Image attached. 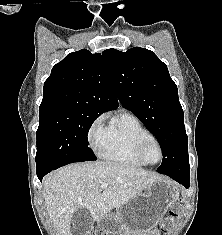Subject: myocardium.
Here are the masks:
<instances>
[{
	"label": "myocardium",
	"mask_w": 222,
	"mask_h": 235,
	"mask_svg": "<svg viewBox=\"0 0 222 235\" xmlns=\"http://www.w3.org/2000/svg\"><path fill=\"white\" fill-rule=\"evenodd\" d=\"M151 143H154L158 147L159 152H160V157H159L158 161H156L154 163L148 162L145 158V150H146L147 146ZM136 156L144 165L153 166V165L159 164L163 160L164 150H163L161 143L155 137H149V138H145L139 142V144L136 148Z\"/></svg>",
	"instance_id": "myocardium-1"
}]
</instances>
